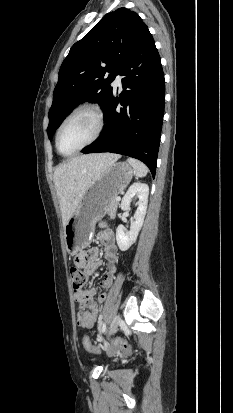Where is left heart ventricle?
I'll use <instances>...</instances> for the list:
<instances>
[{"label":"left heart ventricle","instance_id":"1","mask_svg":"<svg viewBox=\"0 0 233 413\" xmlns=\"http://www.w3.org/2000/svg\"><path fill=\"white\" fill-rule=\"evenodd\" d=\"M97 128L95 116L89 112H82L74 116L63 127L59 137L60 150L71 153L88 142Z\"/></svg>","mask_w":233,"mask_h":413}]
</instances>
